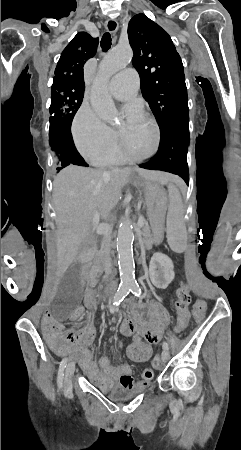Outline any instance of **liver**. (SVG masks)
Listing matches in <instances>:
<instances>
[{"label": "liver", "instance_id": "6515ba94", "mask_svg": "<svg viewBox=\"0 0 241 450\" xmlns=\"http://www.w3.org/2000/svg\"><path fill=\"white\" fill-rule=\"evenodd\" d=\"M159 182L162 186L177 182V176L141 168L124 170H93L67 166L54 178L53 202L56 218L57 278H62L73 264L93 260L95 248L91 244L96 218H108L117 206L122 188L131 182V174Z\"/></svg>", "mask_w": 241, "mask_h": 450}]
</instances>
